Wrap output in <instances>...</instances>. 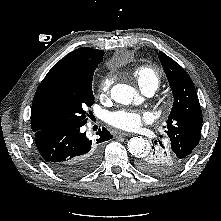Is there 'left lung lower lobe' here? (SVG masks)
I'll use <instances>...</instances> for the list:
<instances>
[{
	"label": "left lung lower lobe",
	"mask_w": 221,
	"mask_h": 221,
	"mask_svg": "<svg viewBox=\"0 0 221 221\" xmlns=\"http://www.w3.org/2000/svg\"><path fill=\"white\" fill-rule=\"evenodd\" d=\"M161 137V135H160ZM155 146L137 161V167L151 175L167 176L181 169L186 161H182L171 148L168 140L155 141Z\"/></svg>",
	"instance_id": "left-lung-lower-lobe-1"
}]
</instances>
